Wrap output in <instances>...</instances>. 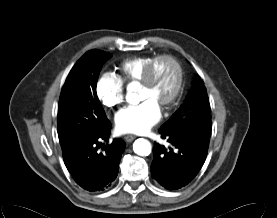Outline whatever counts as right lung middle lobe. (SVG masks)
Returning <instances> with one entry per match:
<instances>
[{"instance_id": "dd1d6c3e", "label": "right lung middle lobe", "mask_w": 277, "mask_h": 218, "mask_svg": "<svg viewBox=\"0 0 277 218\" xmlns=\"http://www.w3.org/2000/svg\"><path fill=\"white\" fill-rule=\"evenodd\" d=\"M110 57L104 51H88L66 78L57 116L63 154L102 131L109 121L97 97L96 85L100 69Z\"/></svg>"}]
</instances>
